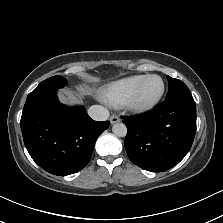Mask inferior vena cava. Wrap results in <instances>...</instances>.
Segmentation results:
<instances>
[{
    "label": "inferior vena cava",
    "mask_w": 223,
    "mask_h": 223,
    "mask_svg": "<svg viewBox=\"0 0 223 223\" xmlns=\"http://www.w3.org/2000/svg\"><path fill=\"white\" fill-rule=\"evenodd\" d=\"M88 114L95 120H106L109 117V110L102 105H92Z\"/></svg>",
    "instance_id": "inferior-vena-cava-1"
}]
</instances>
